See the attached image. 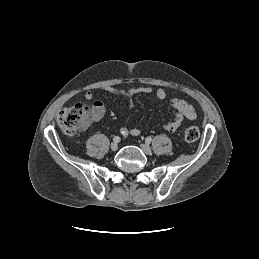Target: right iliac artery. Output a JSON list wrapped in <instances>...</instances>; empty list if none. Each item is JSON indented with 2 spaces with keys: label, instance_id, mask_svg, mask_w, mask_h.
I'll return each mask as SVG.
<instances>
[{
  "label": "right iliac artery",
  "instance_id": "right-iliac-artery-1",
  "mask_svg": "<svg viewBox=\"0 0 259 259\" xmlns=\"http://www.w3.org/2000/svg\"><path fill=\"white\" fill-rule=\"evenodd\" d=\"M120 137L119 136H115L114 138H113V141L115 142V143H118V142H120Z\"/></svg>",
  "mask_w": 259,
  "mask_h": 259
}]
</instances>
